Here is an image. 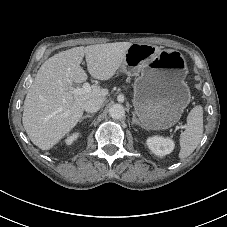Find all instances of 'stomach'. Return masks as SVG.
Listing matches in <instances>:
<instances>
[{"mask_svg": "<svg viewBox=\"0 0 227 227\" xmlns=\"http://www.w3.org/2000/svg\"><path fill=\"white\" fill-rule=\"evenodd\" d=\"M119 72L139 76L133 86V103L143 128L164 130L180 120L191 99L185 82L188 69L180 52L131 44Z\"/></svg>", "mask_w": 227, "mask_h": 227, "instance_id": "obj_1", "label": "stomach"}]
</instances>
